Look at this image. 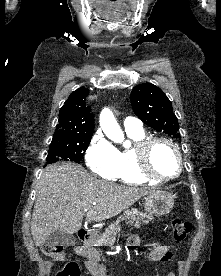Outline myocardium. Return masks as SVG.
<instances>
[{"label":"myocardium","instance_id":"f54148a6","mask_svg":"<svg viewBox=\"0 0 221 276\" xmlns=\"http://www.w3.org/2000/svg\"><path fill=\"white\" fill-rule=\"evenodd\" d=\"M158 142H164L168 144L172 150L174 151L177 161H178V170L175 174L169 175V176H162L157 174L151 165V159H150V153L152 147L158 143ZM135 154H136V160L137 165L139 168L140 173L147 179L151 181H157V182H165L174 180L177 177L180 176L182 169H183V159L181 152L178 148V146L169 138L163 137V136H148L139 141L135 146Z\"/></svg>","mask_w":221,"mask_h":276}]
</instances>
